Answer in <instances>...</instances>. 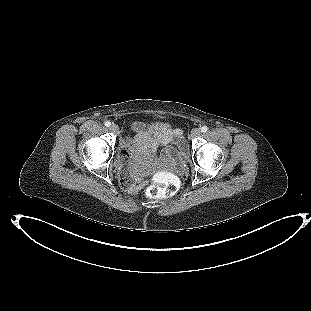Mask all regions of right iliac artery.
<instances>
[{
    "instance_id": "obj_1",
    "label": "right iliac artery",
    "mask_w": 311,
    "mask_h": 311,
    "mask_svg": "<svg viewBox=\"0 0 311 311\" xmlns=\"http://www.w3.org/2000/svg\"><path fill=\"white\" fill-rule=\"evenodd\" d=\"M104 124H105V126L109 127L111 125V122L110 121H106Z\"/></svg>"
}]
</instances>
